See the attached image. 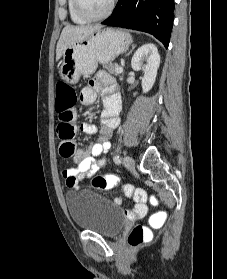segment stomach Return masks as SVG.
Instances as JSON below:
<instances>
[{"mask_svg":"<svg viewBox=\"0 0 227 279\" xmlns=\"http://www.w3.org/2000/svg\"><path fill=\"white\" fill-rule=\"evenodd\" d=\"M131 43L128 33L112 28L98 30L86 39L69 43L63 53L60 77L67 83L75 84L82 75L94 73L98 63H111L126 52Z\"/></svg>","mask_w":227,"mask_h":279,"instance_id":"stomach-1","label":"stomach"}]
</instances>
